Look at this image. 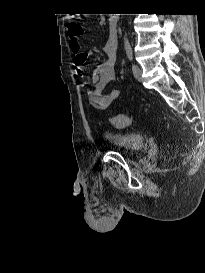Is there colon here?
I'll use <instances>...</instances> for the list:
<instances>
[{"label":"colon","instance_id":"colon-1","mask_svg":"<svg viewBox=\"0 0 205 273\" xmlns=\"http://www.w3.org/2000/svg\"><path fill=\"white\" fill-rule=\"evenodd\" d=\"M68 33L70 37L78 39L83 33V27L77 22H71L68 25ZM110 121L118 128L127 127L131 123V119L127 115L112 116Z\"/></svg>","mask_w":205,"mask_h":273}]
</instances>
